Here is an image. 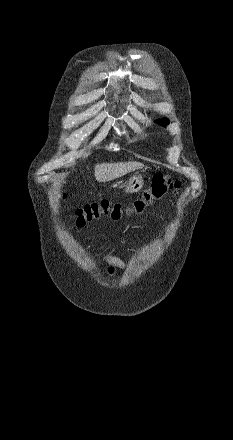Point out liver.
<instances>
[{
	"instance_id": "obj_1",
	"label": "liver",
	"mask_w": 233,
	"mask_h": 440,
	"mask_svg": "<svg viewBox=\"0 0 233 440\" xmlns=\"http://www.w3.org/2000/svg\"><path fill=\"white\" fill-rule=\"evenodd\" d=\"M143 163L137 161L119 163H101L95 165V178L98 182L111 181L122 177L131 171L142 169Z\"/></svg>"
}]
</instances>
